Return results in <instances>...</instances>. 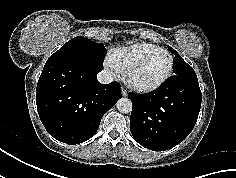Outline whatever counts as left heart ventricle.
<instances>
[{
  "label": "left heart ventricle",
  "instance_id": "b2bd125f",
  "mask_svg": "<svg viewBox=\"0 0 236 178\" xmlns=\"http://www.w3.org/2000/svg\"><path fill=\"white\" fill-rule=\"evenodd\" d=\"M169 65L170 59L167 55L155 56L136 71L135 79L145 84L155 83L166 74Z\"/></svg>",
  "mask_w": 236,
  "mask_h": 178
}]
</instances>
